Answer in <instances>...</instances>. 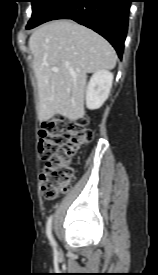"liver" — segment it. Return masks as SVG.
I'll return each mask as SVG.
<instances>
[{"label": "liver", "instance_id": "liver-1", "mask_svg": "<svg viewBox=\"0 0 158 275\" xmlns=\"http://www.w3.org/2000/svg\"><path fill=\"white\" fill-rule=\"evenodd\" d=\"M33 70L39 94L38 118L55 114L70 120L83 118L87 73L113 69L117 55L100 35L70 20H55L30 36ZM57 67L58 72L52 71Z\"/></svg>", "mask_w": 158, "mask_h": 275}]
</instances>
